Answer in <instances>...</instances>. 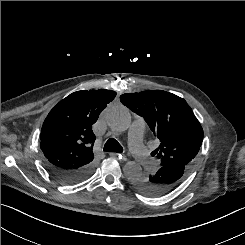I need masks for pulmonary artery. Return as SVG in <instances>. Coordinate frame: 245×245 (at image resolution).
Segmentation results:
<instances>
[{
    "label": "pulmonary artery",
    "instance_id": "obj_1",
    "mask_svg": "<svg viewBox=\"0 0 245 245\" xmlns=\"http://www.w3.org/2000/svg\"><path fill=\"white\" fill-rule=\"evenodd\" d=\"M145 126V121L142 118H136L129 129L128 137L130 148L137 160L144 168L149 169L155 164V161L142 143Z\"/></svg>",
    "mask_w": 245,
    "mask_h": 245
}]
</instances>
